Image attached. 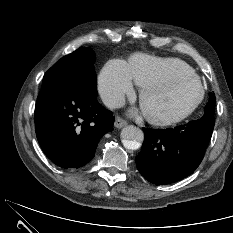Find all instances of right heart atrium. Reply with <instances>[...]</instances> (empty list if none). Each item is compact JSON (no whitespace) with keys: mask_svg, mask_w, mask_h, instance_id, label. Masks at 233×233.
Listing matches in <instances>:
<instances>
[{"mask_svg":"<svg viewBox=\"0 0 233 233\" xmlns=\"http://www.w3.org/2000/svg\"><path fill=\"white\" fill-rule=\"evenodd\" d=\"M97 91L107 107L121 106L125 98L134 93L127 64L118 59L106 63L97 77Z\"/></svg>","mask_w":233,"mask_h":233,"instance_id":"obj_1","label":"right heart atrium"}]
</instances>
